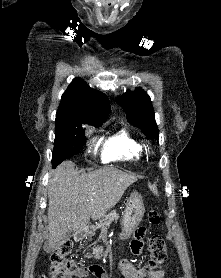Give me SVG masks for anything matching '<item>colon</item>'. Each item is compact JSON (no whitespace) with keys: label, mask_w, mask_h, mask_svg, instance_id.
Returning <instances> with one entry per match:
<instances>
[{"label":"colon","mask_w":221,"mask_h":278,"mask_svg":"<svg viewBox=\"0 0 221 278\" xmlns=\"http://www.w3.org/2000/svg\"><path fill=\"white\" fill-rule=\"evenodd\" d=\"M148 220L151 224L160 222V215L156 210H151L148 214ZM72 243L63 242L51 256L49 278H68L76 269L74 261L67 258L71 252ZM147 251L149 254V265L146 271L158 270L167 259V249L164 239L159 235H153L148 241ZM41 278H48L42 276Z\"/></svg>","instance_id":"colon-1"}]
</instances>
